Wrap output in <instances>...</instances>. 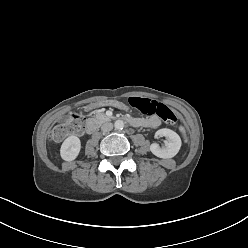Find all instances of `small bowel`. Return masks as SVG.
<instances>
[{
	"label": "small bowel",
	"instance_id": "c3829d8e",
	"mask_svg": "<svg viewBox=\"0 0 248 248\" xmlns=\"http://www.w3.org/2000/svg\"><path fill=\"white\" fill-rule=\"evenodd\" d=\"M140 121L141 126H146L149 128H157L158 126H160V120L158 117L156 116H152L146 119H138Z\"/></svg>",
	"mask_w": 248,
	"mask_h": 248
}]
</instances>
